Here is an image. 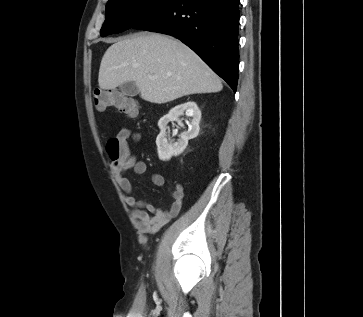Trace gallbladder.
I'll return each instance as SVG.
<instances>
[{
    "instance_id": "gallbladder-1",
    "label": "gallbladder",
    "mask_w": 363,
    "mask_h": 317,
    "mask_svg": "<svg viewBox=\"0 0 363 317\" xmlns=\"http://www.w3.org/2000/svg\"><path fill=\"white\" fill-rule=\"evenodd\" d=\"M120 91L129 97H134L139 93L136 84L133 81H128L120 85Z\"/></svg>"
}]
</instances>
